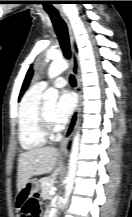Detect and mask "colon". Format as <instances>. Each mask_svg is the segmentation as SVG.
<instances>
[{
    "mask_svg": "<svg viewBox=\"0 0 132 217\" xmlns=\"http://www.w3.org/2000/svg\"><path fill=\"white\" fill-rule=\"evenodd\" d=\"M24 211L27 217H39L40 206L36 196H31L26 200Z\"/></svg>",
    "mask_w": 132,
    "mask_h": 217,
    "instance_id": "colon-1",
    "label": "colon"
}]
</instances>
